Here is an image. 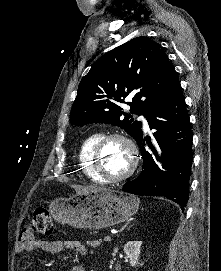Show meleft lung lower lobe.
Returning <instances> with one entry per match:
<instances>
[{
    "instance_id": "1",
    "label": "left lung lower lobe",
    "mask_w": 221,
    "mask_h": 271,
    "mask_svg": "<svg viewBox=\"0 0 221 271\" xmlns=\"http://www.w3.org/2000/svg\"><path fill=\"white\" fill-rule=\"evenodd\" d=\"M146 119L150 129L157 130L153 136L162 155H157L150 138L141 131L136 142L141 148L143 170L136 179L125 183L123 190L137 195L164 196L185 207L189 199L193 135L181 86ZM145 141L156 159L145 151Z\"/></svg>"
}]
</instances>
